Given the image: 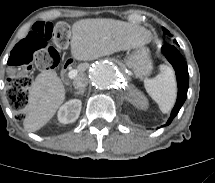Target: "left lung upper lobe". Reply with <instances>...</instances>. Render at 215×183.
Returning <instances> with one entry per match:
<instances>
[{"instance_id": "5c2ea615", "label": "left lung upper lobe", "mask_w": 215, "mask_h": 183, "mask_svg": "<svg viewBox=\"0 0 215 183\" xmlns=\"http://www.w3.org/2000/svg\"><path fill=\"white\" fill-rule=\"evenodd\" d=\"M163 31H164V33H166V34H168V35L171 36V34H170V33L168 32V30H166L165 28H163ZM174 42L177 43L175 40H174Z\"/></svg>"}]
</instances>
